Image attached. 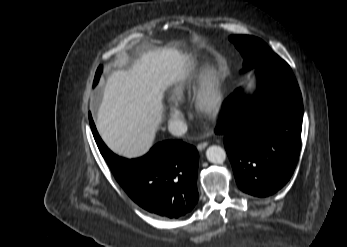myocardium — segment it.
Instances as JSON below:
<instances>
[{
	"instance_id": "obj_1",
	"label": "myocardium",
	"mask_w": 347,
	"mask_h": 247,
	"mask_svg": "<svg viewBox=\"0 0 347 247\" xmlns=\"http://www.w3.org/2000/svg\"><path fill=\"white\" fill-rule=\"evenodd\" d=\"M195 109L204 118H215L223 105L224 95L215 70H208L195 93Z\"/></svg>"
}]
</instances>
